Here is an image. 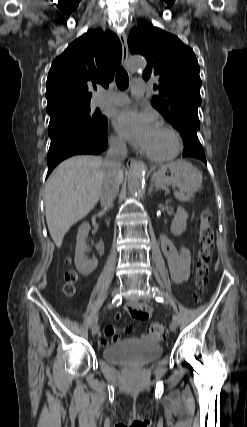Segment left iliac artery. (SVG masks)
Returning a JSON list of instances; mask_svg holds the SVG:
<instances>
[{"label":"left iliac artery","instance_id":"left-iliac-artery-1","mask_svg":"<svg viewBox=\"0 0 247 427\" xmlns=\"http://www.w3.org/2000/svg\"><path fill=\"white\" fill-rule=\"evenodd\" d=\"M152 296L158 302H162V303L164 302L163 294H162V292L157 287L152 288ZM173 320L178 323V317L175 314H173Z\"/></svg>","mask_w":247,"mask_h":427}]
</instances>
